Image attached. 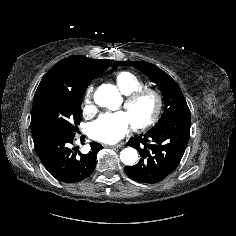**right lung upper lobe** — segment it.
Wrapping results in <instances>:
<instances>
[{
  "label": "right lung upper lobe",
  "instance_id": "obj_1",
  "mask_svg": "<svg viewBox=\"0 0 236 236\" xmlns=\"http://www.w3.org/2000/svg\"><path fill=\"white\" fill-rule=\"evenodd\" d=\"M110 64L111 60H94L82 55L62 59L42 78L35 92L34 102L50 90L75 91L87 84L89 85Z\"/></svg>",
  "mask_w": 236,
  "mask_h": 236
}]
</instances>
